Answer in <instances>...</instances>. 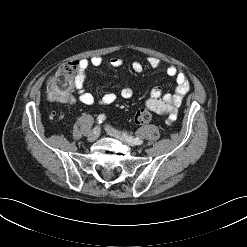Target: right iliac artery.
<instances>
[{
    "label": "right iliac artery",
    "mask_w": 247,
    "mask_h": 247,
    "mask_svg": "<svg viewBox=\"0 0 247 247\" xmlns=\"http://www.w3.org/2000/svg\"><path fill=\"white\" fill-rule=\"evenodd\" d=\"M106 119V116L104 114H101L97 117V122L100 124Z\"/></svg>",
    "instance_id": "obj_1"
}]
</instances>
